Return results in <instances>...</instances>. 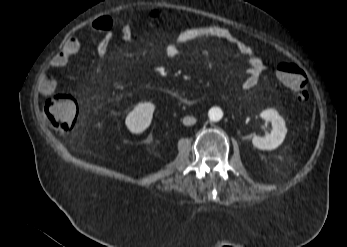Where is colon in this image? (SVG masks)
<instances>
[{
  "label": "colon",
  "mask_w": 347,
  "mask_h": 247,
  "mask_svg": "<svg viewBox=\"0 0 347 247\" xmlns=\"http://www.w3.org/2000/svg\"><path fill=\"white\" fill-rule=\"evenodd\" d=\"M149 14H160L156 19H149L153 30H160L162 13L151 11ZM279 81L294 95L299 102L309 97V83L305 71L295 63H280L276 70ZM78 116V104L68 94L50 95L44 104L45 122L61 133H68L75 127Z\"/></svg>",
  "instance_id": "1"
}]
</instances>
